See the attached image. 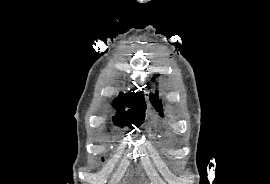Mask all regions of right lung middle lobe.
Here are the masks:
<instances>
[{"mask_svg":"<svg viewBox=\"0 0 270 184\" xmlns=\"http://www.w3.org/2000/svg\"><path fill=\"white\" fill-rule=\"evenodd\" d=\"M142 121H139V122L135 123L134 125L137 126V127H139L141 125ZM129 127H132V125H129Z\"/></svg>","mask_w":270,"mask_h":184,"instance_id":"obj_1","label":"right lung middle lobe"}]
</instances>
